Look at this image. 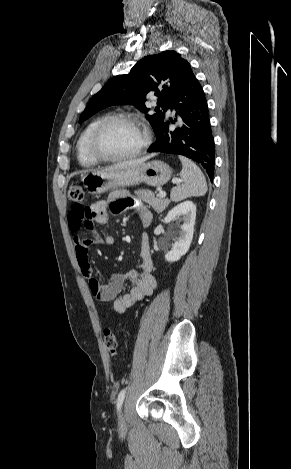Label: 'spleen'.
Instances as JSON below:
<instances>
[{
    "label": "spleen",
    "mask_w": 291,
    "mask_h": 469,
    "mask_svg": "<svg viewBox=\"0 0 291 469\" xmlns=\"http://www.w3.org/2000/svg\"><path fill=\"white\" fill-rule=\"evenodd\" d=\"M179 159L183 166L180 173L182 184L171 190V200L178 202L191 196H204L207 183L202 171L191 160L183 156Z\"/></svg>",
    "instance_id": "3e777b00"
}]
</instances>
